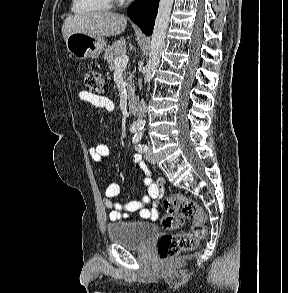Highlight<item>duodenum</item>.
I'll return each instance as SVG.
<instances>
[{
	"instance_id": "obj_1",
	"label": "duodenum",
	"mask_w": 288,
	"mask_h": 293,
	"mask_svg": "<svg viewBox=\"0 0 288 293\" xmlns=\"http://www.w3.org/2000/svg\"><path fill=\"white\" fill-rule=\"evenodd\" d=\"M128 107H129L131 112H133V113L138 112L139 100H138V98L136 96L130 97V99L128 101Z\"/></svg>"
}]
</instances>
